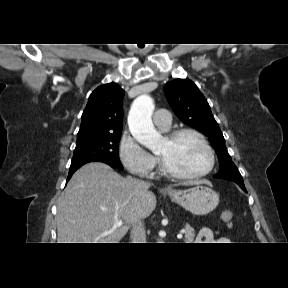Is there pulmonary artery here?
Masks as SVG:
<instances>
[{
	"mask_svg": "<svg viewBox=\"0 0 288 288\" xmlns=\"http://www.w3.org/2000/svg\"><path fill=\"white\" fill-rule=\"evenodd\" d=\"M154 124L161 130H167L171 125V114L167 110H158L154 116Z\"/></svg>",
	"mask_w": 288,
	"mask_h": 288,
	"instance_id": "obj_1",
	"label": "pulmonary artery"
}]
</instances>
